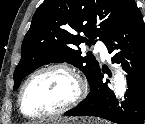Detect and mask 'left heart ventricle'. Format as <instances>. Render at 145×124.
Listing matches in <instances>:
<instances>
[{
    "label": "left heart ventricle",
    "mask_w": 145,
    "mask_h": 124,
    "mask_svg": "<svg viewBox=\"0 0 145 124\" xmlns=\"http://www.w3.org/2000/svg\"><path fill=\"white\" fill-rule=\"evenodd\" d=\"M77 92L75 80L66 72L51 70L38 75L26 88L23 108L28 114L56 110Z\"/></svg>",
    "instance_id": "obj_1"
}]
</instances>
